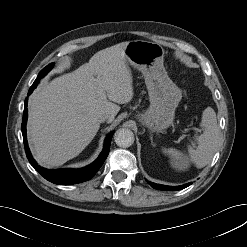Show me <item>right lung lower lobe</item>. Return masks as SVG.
<instances>
[{"mask_svg":"<svg viewBox=\"0 0 247 247\" xmlns=\"http://www.w3.org/2000/svg\"><path fill=\"white\" fill-rule=\"evenodd\" d=\"M39 82H34L33 85L30 87L28 95H30L33 90L37 87ZM27 101L28 98L25 99V107L23 112L22 118V134L25 146L26 156L30 162V164L38 171L45 179L48 181L60 184V185H70V184H77L87 180H90L100 169L102 164L104 163L105 159L108 156L110 150V142L112 140L113 132H111L104 144L103 151L99 155V157L87 167L81 169H57V170H48L41 166H39L35 160L33 159L30 150L28 148L27 138H26V122H27Z\"/></svg>","mask_w":247,"mask_h":247,"instance_id":"right-lung-lower-lobe-1","label":"right lung lower lobe"}]
</instances>
